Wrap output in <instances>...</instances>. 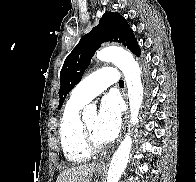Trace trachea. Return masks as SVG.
<instances>
[{"mask_svg":"<svg viewBox=\"0 0 196 182\" xmlns=\"http://www.w3.org/2000/svg\"><path fill=\"white\" fill-rule=\"evenodd\" d=\"M119 85H120V86H124L123 80H120V81H119Z\"/></svg>","mask_w":196,"mask_h":182,"instance_id":"trachea-1","label":"trachea"}]
</instances>
